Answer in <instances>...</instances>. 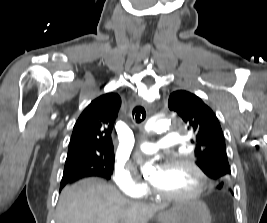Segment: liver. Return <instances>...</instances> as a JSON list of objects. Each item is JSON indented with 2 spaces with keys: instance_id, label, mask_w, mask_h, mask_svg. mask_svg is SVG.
I'll return each instance as SVG.
<instances>
[{
  "instance_id": "obj_1",
  "label": "liver",
  "mask_w": 267,
  "mask_h": 223,
  "mask_svg": "<svg viewBox=\"0 0 267 223\" xmlns=\"http://www.w3.org/2000/svg\"><path fill=\"white\" fill-rule=\"evenodd\" d=\"M166 207L128 200L105 181L88 178L62 190L57 223H147Z\"/></svg>"
}]
</instances>
